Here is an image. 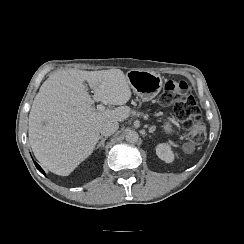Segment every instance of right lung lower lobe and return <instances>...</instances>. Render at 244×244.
<instances>
[{
    "instance_id": "right-lung-lower-lobe-1",
    "label": "right lung lower lobe",
    "mask_w": 244,
    "mask_h": 244,
    "mask_svg": "<svg viewBox=\"0 0 244 244\" xmlns=\"http://www.w3.org/2000/svg\"><path fill=\"white\" fill-rule=\"evenodd\" d=\"M34 163H35L37 169H38L42 174L45 175V173H44V171L42 170V168H41L36 162H34Z\"/></svg>"
}]
</instances>
